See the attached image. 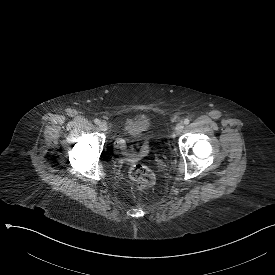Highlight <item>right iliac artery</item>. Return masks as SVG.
<instances>
[{"mask_svg":"<svg viewBox=\"0 0 275 275\" xmlns=\"http://www.w3.org/2000/svg\"><path fill=\"white\" fill-rule=\"evenodd\" d=\"M94 122L98 124L100 121L98 119H95Z\"/></svg>","mask_w":275,"mask_h":275,"instance_id":"82829eb1","label":"right iliac artery"}]
</instances>
